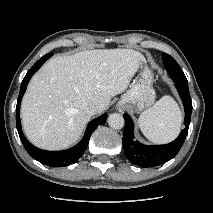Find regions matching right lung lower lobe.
<instances>
[{"instance_id":"98d812e1","label":"right lung lower lobe","mask_w":213,"mask_h":213,"mask_svg":"<svg viewBox=\"0 0 213 213\" xmlns=\"http://www.w3.org/2000/svg\"><path fill=\"white\" fill-rule=\"evenodd\" d=\"M52 54H46L42 58H40L27 72L26 76L24 77L19 97L17 100V106H16V126L17 130L20 136V139L23 143V146L25 147L26 151L37 161L41 162L44 165L51 166V167H63L68 166L70 164H74L84 153L86 150L89 139L93 131L96 129L98 125H103L106 121L107 114H103L99 118L92 120L86 129L85 135L83 139L74 147L65 150V151H57V152H49V151H43L35 148L32 146L24 137L22 129H21V122H20V103L23 97V94L25 93L27 84L30 80V78L33 76V74L41 67V65L50 57Z\"/></svg>"}]
</instances>
